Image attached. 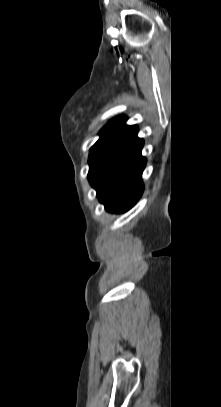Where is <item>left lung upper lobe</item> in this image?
I'll return each instance as SVG.
<instances>
[{
	"instance_id": "1",
	"label": "left lung upper lobe",
	"mask_w": 221,
	"mask_h": 407,
	"mask_svg": "<svg viewBox=\"0 0 221 407\" xmlns=\"http://www.w3.org/2000/svg\"><path fill=\"white\" fill-rule=\"evenodd\" d=\"M125 116H119L111 120L102 128L99 140L92 146L89 154V171L99 159V157L108 149V147L119 137V135L128 127Z\"/></svg>"
}]
</instances>
